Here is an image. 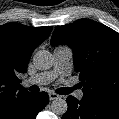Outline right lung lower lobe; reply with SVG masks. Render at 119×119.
<instances>
[{
    "label": "right lung lower lobe",
    "mask_w": 119,
    "mask_h": 119,
    "mask_svg": "<svg viewBox=\"0 0 119 119\" xmlns=\"http://www.w3.org/2000/svg\"><path fill=\"white\" fill-rule=\"evenodd\" d=\"M48 101L49 96L46 92L33 94L12 119H35Z\"/></svg>",
    "instance_id": "right-lung-lower-lobe-1"
}]
</instances>
